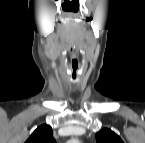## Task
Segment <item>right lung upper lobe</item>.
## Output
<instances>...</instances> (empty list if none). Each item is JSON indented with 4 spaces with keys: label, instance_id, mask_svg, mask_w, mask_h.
Here are the masks:
<instances>
[{
    "label": "right lung upper lobe",
    "instance_id": "right-lung-upper-lobe-1",
    "mask_svg": "<svg viewBox=\"0 0 145 143\" xmlns=\"http://www.w3.org/2000/svg\"><path fill=\"white\" fill-rule=\"evenodd\" d=\"M26 143H56L52 136V128L43 124L39 126L28 138Z\"/></svg>",
    "mask_w": 145,
    "mask_h": 143
}]
</instances>
